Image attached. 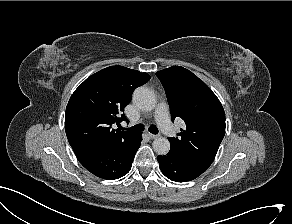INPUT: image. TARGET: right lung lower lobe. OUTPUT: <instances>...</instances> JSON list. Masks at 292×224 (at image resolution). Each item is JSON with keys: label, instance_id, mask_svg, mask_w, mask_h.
I'll return each instance as SVG.
<instances>
[{"label": "right lung lower lobe", "instance_id": "98d812e1", "mask_svg": "<svg viewBox=\"0 0 292 224\" xmlns=\"http://www.w3.org/2000/svg\"><path fill=\"white\" fill-rule=\"evenodd\" d=\"M141 141V133H138L135 139L125 144L74 145L72 149L79 162L92 174L114 180L130 171Z\"/></svg>", "mask_w": 292, "mask_h": 224}]
</instances>
